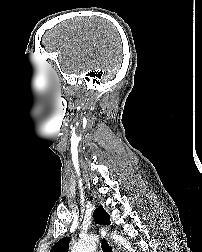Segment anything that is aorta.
Here are the masks:
<instances>
[{
  "mask_svg": "<svg viewBox=\"0 0 202 252\" xmlns=\"http://www.w3.org/2000/svg\"><path fill=\"white\" fill-rule=\"evenodd\" d=\"M112 237L115 242L119 243L120 245H123L126 251L135 252V250L131 247L129 241H127L124 237L115 233L112 235ZM96 242L97 238L95 236H90L86 239L79 241L78 243H75L71 248V252H95L97 246Z\"/></svg>",
  "mask_w": 202,
  "mask_h": 252,
  "instance_id": "762f6f07",
  "label": "aorta"
}]
</instances>
